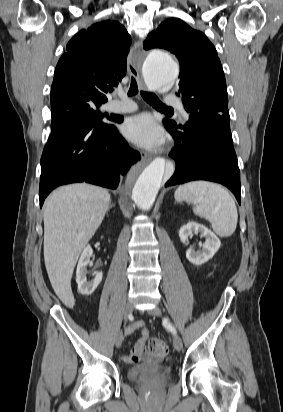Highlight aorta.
Listing matches in <instances>:
<instances>
[{"label": "aorta", "instance_id": "1", "mask_svg": "<svg viewBox=\"0 0 283 412\" xmlns=\"http://www.w3.org/2000/svg\"><path fill=\"white\" fill-rule=\"evenodd\" d=\"M142 73L149 89L162 90L174 84L179 69L168 53L154 50L144 60ZM164 174L165 160L163 158H156L150 164L130 173L128 188L131 190L135 204L140 209L146 211L152 207Z\"/></svg>", "mask_w": 283, "mask_h": 412}]
</instances>
